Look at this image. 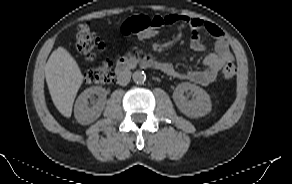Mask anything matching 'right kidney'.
I'll return each instance as SVG.
<instances>
[{
  "mask_svg": "<svg viewBox=\"0 0 292 184\" xmlns=\"http://www.w3.org/2000/svg\"><path fill=\"white\" fill-rule=\"evenodd\" d=\"M98 99H94V95ZM88 99L91 100L90 104ZM106 101V91L102 87H90L84 90L76 100L74 114L77 121L82 125H87L96 120L103 111Z\"/></svg>",
  "mask_w": 292,
  "mask_h": 184,
  "instance_id": "1",
  "label": "right kidney"
}]
</instances>
